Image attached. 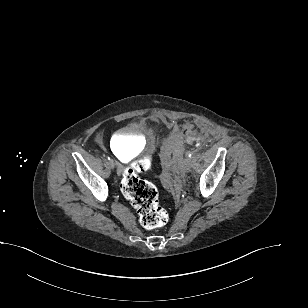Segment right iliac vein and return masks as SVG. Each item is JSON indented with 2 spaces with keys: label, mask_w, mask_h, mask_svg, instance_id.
I'll use <instances>...</instances> for the list:
<instances>
[{
  "label": "right iliac vein",
  "mask_w": 308,
  "mask_h": 308,
  "mask_svg": "<svg viewBox=\"0 0 308 308\" xmlns=\"http://www.w3.org/2000/svg\"><path fill=\"white\" fill-rule=\"evenodd\" d=\"M109 165H110L111 168H114V167H115L114 161H113V160H110V161H109Z\"/></svg>",
  "instance_id": "1"
}]
</instances>
